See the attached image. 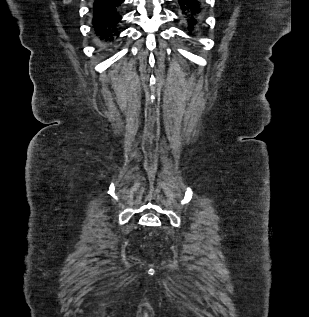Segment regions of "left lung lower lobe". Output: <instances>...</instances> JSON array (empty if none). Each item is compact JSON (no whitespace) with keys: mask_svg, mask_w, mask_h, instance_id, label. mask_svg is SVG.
Returning <instances> with one entry per match:
<instances>
[{"mask_svg":"<svg viewBox=\"0 0 309 317\" xmlns=\"http://www.w3.org/2000/svg\"><path fill=\"white\" fill-rule=\"evenodd\" d=\"M179 13L188 26L189 34L200 29L204 23V2L203 0H177Z\"/></svg>","mask_w":309,"mask_h":317,"instance_id":"left-lung-lower-lobe-1","label":"left lung lower lobe"}]
</instances>
